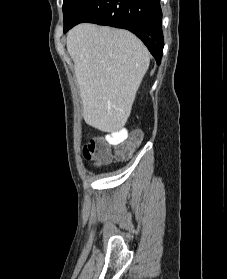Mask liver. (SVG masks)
<instances>
[{
	"label": "liver",
	"mask_w": 227,
	"mask_h": 279,
	"mask_svg": "<svg viewBox=\"0 0 227 279\" xmlns=\"http://www.w3.org/2000/svg\"><path fill=\"white\" fill-rule=\"evenodd\" d=\"M85 122L113 133L126 123L150 54L134 34L82 23L67 35Z\"/></svg>",
	"instance_id": "1"
}]
</instances>
